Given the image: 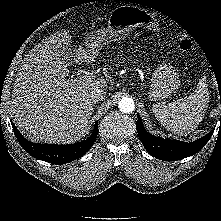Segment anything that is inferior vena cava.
Segmentation results:
<instances>
[{
    "instance_id": "1",
    "label": "inferior vena cava",
    "mask_w": 221,
    "mask_h": 221,
    "mask_svg": "<svg viewBox=\"0 0 221 221\" xmlns=\"http://www.w3.org/2000/svg\"><path fill=\"white\" fill-rule=\"evenodd\" d=\"M106 92L103 89L96 88L90 92V100L94 103L104 100Z\"/></svg>"
}]
</instances>
